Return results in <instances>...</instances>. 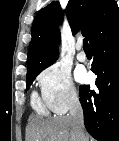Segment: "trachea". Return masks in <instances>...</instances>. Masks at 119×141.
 <instances>
[{
  "mask_svg": "<svg viewBox=\"0 0 119 141\" xmlns=\"http://www.w3.org/2000/svg\"><path fill=\"white\" fill-rule=\"evenodd\" d=\"M83 48L84 49H91L89 44H88L87 38H84V40H83Z\"/></svg>",
  "mask_w": 119,
  "mask_h": 141,
  "instance_id": "3493384b",
  "label": "trachea"
}]
</instances>
